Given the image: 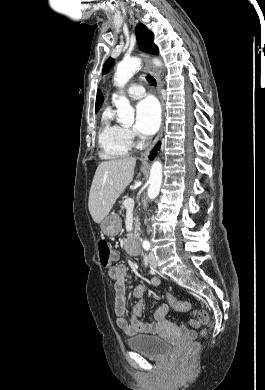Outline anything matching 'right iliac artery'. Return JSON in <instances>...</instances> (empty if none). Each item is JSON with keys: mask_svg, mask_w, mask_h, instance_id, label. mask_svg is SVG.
<instances>
[{"mask_svg": "<svg viewBox=\"0 0 265 390\" xmlns=\"http://www.w3.org/2000/svg\"><path fill=\"white\" fill-rule=\"evenodd\" d=\"M144 261H145V265L147 266V264H148V257H147V254H145V256H144Z\"/></svg>", "mask_w": 265, "mask_h": 390, "instance_id": "right-iliac-artery-1", "label": "right iliac artery"}]
</instances>
